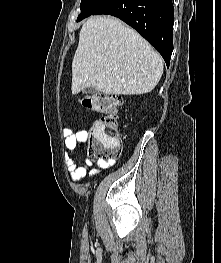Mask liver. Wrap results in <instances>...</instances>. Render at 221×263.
I'll use <instances>...</instances> for the list:
<instances>
[{
	"instance_id": "1",
	"label": "liver",
	"mask_w": 221,
	"mask_h": 263,
	"mask_svg": "<svg viewBox=\"0 0 221 263\" xmlns=\"http://www.w3.org/2000/svg\"><path fill=\"white\" fill-rule=\"evenodd\" d=\"M163 65L153 47L119 19L90 17L79 33L71 90L78 94L93 87L111 95L145 94L158 84Z\"/></svg>"
}]
</instances>
